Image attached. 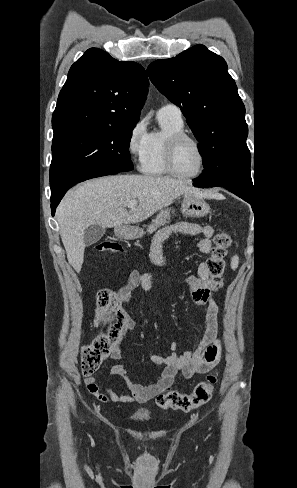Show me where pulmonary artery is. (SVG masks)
<instances>
[{"instance_id":"pulmonary-artery-1","label":"pulmonary artery","mask_w":297,"mask_h":488,"mask_svg":"<svg viewBox=\"0 0 297 488\" xmlns=\"http://www.w3.org/2000/svg\"><path fill=\"white\" fill-rule=\"evenodd\" d=\"M158 117L183 121L181 109L172 103L163 105L158 111Z\"/></svg>"}]
</instances>
